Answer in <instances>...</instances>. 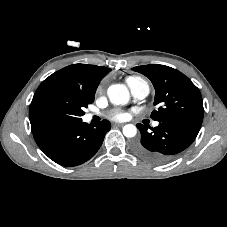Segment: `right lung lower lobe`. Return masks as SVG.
Returning a JSON list of instances; mask_svg holds the SVG:
<instances>
[{
	"instance_id": "1",
	"label": "right lung lower lobe",
	"mask_w": 227,
	"mask_h": 227,
	"mask_svg": "<svg viewBox=\"0 0 227 227\" xmlns=\"http://www.w3.org/2000/svg\"><path fill=\"white\" fill-rule=\"evenodd\" d=\"M109 121L91 126L82 119L51 127L33 129L39 148L62 166H76L92 158L110 130Z\"/></svg>"
}]
</instances>
